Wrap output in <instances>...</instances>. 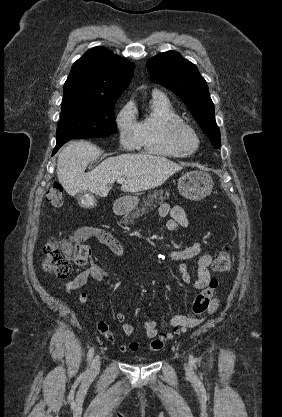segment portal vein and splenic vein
I'll return each mask as SVG.
<instances>
[{
    "mask_svg": "<svg viewBox=\"0 0 282 417\" xmlns=\"http://www.w3.org/2000/svg\"><path fill=\"white\" fill-rule=\"evenodd\" d=\"M117 182H119V184H122V182H124V178H117Z\"/></svg>",
    "mask_w": 282,
    "mask_h": 417,
    "instance_id": "18ae733b",
    "label": "portal vein and splenic vein"
}]
</instances>
